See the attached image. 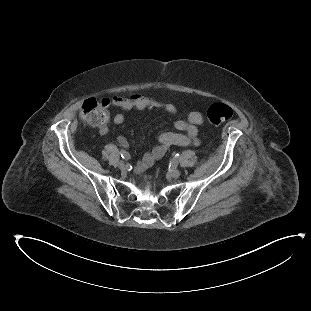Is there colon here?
Returning a JSON list of instances; mask_svg holds the SVG:
<instances>
[{
    "instance_id": "obj_1",
    "label": "colon",
    "mask_w": 311,
    "mask_h": 311,
    "mask_svg": "<svg viewBox=\"0 0 311 311\" xmlns=\"http://www.w3.org/2000/svg\"><path fill=\"white\" fill-rule=\"evenodd\" d=\"M112 105L109 99H88L81 105V119L96 127H105L108 120V110ZM234 110L227 104L214 103L207 111V117L211 124L220 123L232 119Z\"/></svg>"
}]
</instances>
